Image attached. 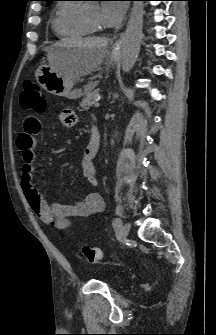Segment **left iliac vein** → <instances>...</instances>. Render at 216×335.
I'll list each match as a JSON object with an SVG mask.
<instances>
[{
  "label": "left iliac vein",
  "instance_id": "left-iliac-vein-1",
  "mask_svg": "<svg viewBox=\"0 0 216 335\" xmlns=\"http://www.w3.org/2000/svg\"><path fill=\"white\" fill-rule=\"evenodd\" d=\"M129 230H130V224L125 223L121 228V233H120L121 237L126 238L129 234Z\"/></svg>",
  "mask_w": 216,
  "mask_h": 335
}]
</instances>
